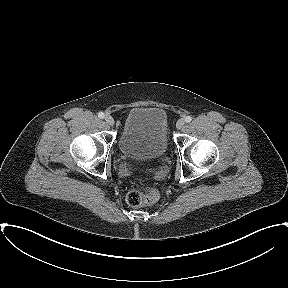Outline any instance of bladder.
Returning <instances> with one entry per match:
<instances>
[{
	"label": "bladder",
	"instance_id": "1",
	"mask_svg": "<svg viewBox=\"0 0 288 288\" xmlns=\"http://www.w3.org/2000/svg\"><path fill=\"white\" fill-rule=\"evenodd\" d=\"M120 151L131 158H154L169 148L167 115L158 107H135L127 115L118 140Z\"/></svg>",
	"mask_w": 288,
	"mask_h": 288
}]
</instances>
